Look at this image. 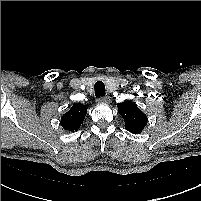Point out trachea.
<instances>
[{
	"mask_svg": "<svg viewBox=\"0 0 201 201\" xmlns=\"http://www.w3.org/2000/svg\"><path fill=\"white\" fill-rule=\"evenodd\" d=\"M95 96L97 98L105 96V84L102 81H97L94 86Z\"/></svg>",
	"mask_w": 201,
	"mask_h": 201,
	"instance_id": "1",
	"label": "trachea"
}]
</instances>
